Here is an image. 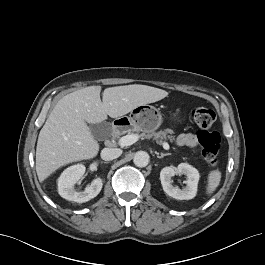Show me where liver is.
Here are the masks:
<instances>
[{
  "mask_svg": "<svg viewBox=\"0 0 265 265\" xmlns=\"http://www.w3.org/2000/svg\"><path fill=\"white\" fill-rule=\"evenodd\" d=\"M89 86L61 98L41 129L36 147V172L40 182L60 167L94 158L99 143L87 123L98 124L121 117L134 108L162 100L168 92L133 84L106 88Z\"/></svg>",
  "mask_w": 265,
  "mask_h": 265,
  "instance_id": "1",
  "label": "liver"
}]
</instances>
